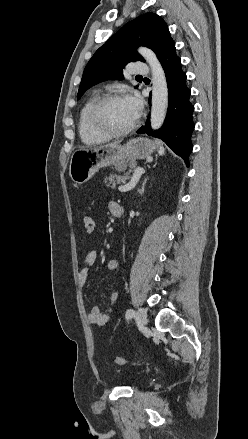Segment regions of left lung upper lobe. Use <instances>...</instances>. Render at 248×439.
Segmentation results:
<instances>
[{"label":"left lung upper lobe","instance_id":"obj_1","mask_svg":"<svg viewBox=\"0 0 248 439\" xmlns=\"http://www.w3.org/2000/svg\"><path fill=\"white\" fill-rule=\"evenodd\" d=\"M173 43L166 22L157 14L146 13L128 22L102 45L86 65L77 99L91 86L108 80L122 79V69L129 62L145 60L137 47L151 48L158 59Z\"/></svg>","mask_w":248,"mask_h":439}]
</instances>
